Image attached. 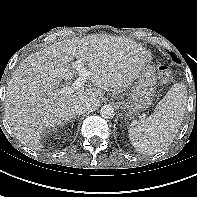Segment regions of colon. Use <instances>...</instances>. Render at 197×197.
<instances>
[{"label": "colon", "instance_id": "5ec220e1", "mask_svg": "<svg viewBox=\"0 0 197 197\" xmlns=\"http://www.w3.org/2000/svg\"><path fill=\"white\" fill-rule=\"evenodd\" d=\"M158 74H159V78L163 81V82H167L170 81L172 78V73L169 70L168 67L164 66V65H160L158 68Z\"/></svg>", "mask_w": 197, "mask_h": 197}]
</instances>
